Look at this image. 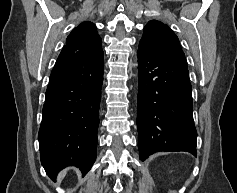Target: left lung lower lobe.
<instances>
[{"label": "left lung lower lobe", "instance_id": "1", "mask_svg": "<svg viewBox=\"0 0 237 193\" xmlns=\"http://www.w3.org/2000/svg\"><path fill=\"white\" fill-rule=\"evenodd\" d=\"M137 129L140 159L157 151L197 156L188 68L139 44Z\"/></svg>", "mask_w": 237, "mask_h": 193}]
</instances>
